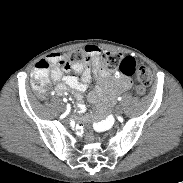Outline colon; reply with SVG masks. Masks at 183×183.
<instances>
[{"mask_svg": "<svg viewBox=\"0 0 183 183\" xmlns=\"http://www.w3.org/2000/svg\"><path fill=\"white\" fill-rule=\"evenodd\" d=\"M89 55L85 49L74 50L64 55L60 61V65L64 69H69L73 65H87ZM102 62L109 70H117L125 76H135L137 85L135 87V96L141 97L146 93V88L152 81V73L150 69L141 62L132 57H123L117 52H104L102 54ZM50 64L47 60L39 61L32 72L33 88L40 94L44 95L48 87V69ZM85 142L93 145L96 142V133L90 125L82 128Z\"/></svg>", "mask_w": 183, "mask_h": 183, "instance_id": "5ec220e1", "label": "colon"}]
</instances>
